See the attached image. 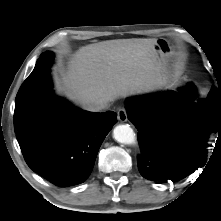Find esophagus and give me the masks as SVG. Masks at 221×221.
<instances>
[{"label":"esophagus","mask_w":221,"mask_h":221,"mask_svg":"<svg viewBox=\"0 0 221 221\" xmlns=\"http://www.w3.org/2000/svg\"><path fill=\"white\" fill-rule=\"evenodd\" d=\"M117 117L120 122L127 121V111L125 108H120L117 112Z\"/></svg>","instance_id":"esophagus-1"}]
</instances>
